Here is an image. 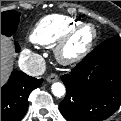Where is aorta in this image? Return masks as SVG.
I'll list each match as a JSON object with an SVG mask.
<instances>
[{"instance_id": "obj_1", "label": "aorta", "mask_w": 121, "mask_h": 121, "mask_svg": "<svg viewBox=\"0 0 121 121\" xmlns=\"http://www.w3.org/2000/svg\"><path fill=\"white\" fill-rule=\"evenodd\" d=\"M51 90L53 95L56 97H62L66 92L65 86L60 82L54 83L51 87Z\"/></svg>"}]
</instances>
